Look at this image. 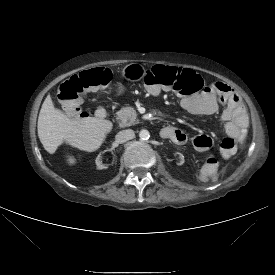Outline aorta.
<instances>
[{
	"mask_svg": "<svg viewBox=\"0 0 275 275\" xmlns=\"http://www.w3.org/2000/svg\"><path fill=\"white\" fill-rule=\"evenodd\" d=\"M139 137H140L142 140H147V139H149V137H150V133H149L148 130H141V131L139 132Z\"/></svg>",
	"mask_w": 275,
	"mask_h": 275,
	"instance_id": "1",
	"label": "aorta"
}]
</instances>
